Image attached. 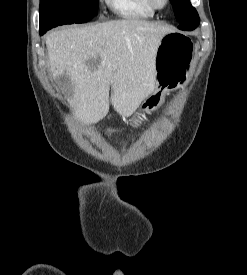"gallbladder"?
<instances>
[{
	"mask_svg": "<svg viewBox=\"0 0 247 275\" xmlns=\"http://www.w3.org/2000/svg\"><path fill=\"white\" fill-rule=\"evenodd\" d=\"M57 82L62 88L69 89L70 87V79L66 75L57 77Z\"/></svg>",
	"mask_w": 247,
	"mask_h": 275,
	"instance_id": "gallbladder-1",
	"label": "gallbladder"
}]
</instances>
